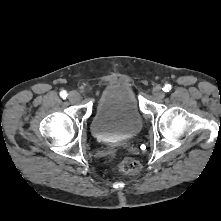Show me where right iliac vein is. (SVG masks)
<instances>
[{
  "label": "right iliac vein",
  "instance_id": "63e3f726",
  "mask_svg": "<svg viewBox=\"0 0 221 221\" xmlns=\"http://www.w3.org/2000/svg\"><path fill=\"white\" fill-rule=\"evenodd\" d=\"M68 98H69V101L71 103H77V102L80 101V94L78 92H76V91H71L69 93V97Z\"/></svg>",
  "mask_w": 221,
  "mask_h": 221
}]
</instances>
